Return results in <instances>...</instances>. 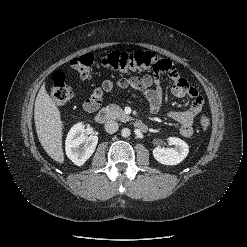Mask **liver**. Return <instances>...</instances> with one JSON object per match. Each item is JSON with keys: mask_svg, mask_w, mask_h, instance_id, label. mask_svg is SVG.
<instances>
[{"mask_svg": "<svg viewBox=\"0 0 247 247\" xmlns=\"http://www.w3.org/2000/svg\"><path fill=\"white\" fill-rule=\"evenodd\" d=\"M34 120L37 136L46 153L56 162H64L62 148L63 122L55 101L41 86L35 100Z\"/></svg>", "mask_w": 247, "mask_h": 247, "instance_id": "obj_1", "label": "liver"}]
</instances>
